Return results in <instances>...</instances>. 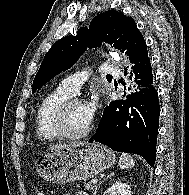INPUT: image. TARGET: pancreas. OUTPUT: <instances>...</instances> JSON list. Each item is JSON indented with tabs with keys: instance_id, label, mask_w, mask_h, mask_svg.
Here are the masks:
<instances>
[{
	"instance_id": "pancreas-1",
	"label": "pancreas",
	"mask_w": 189,
	"mask_h": 195,
	"mask_svg": "<svg viewBox=\"0 0 189 195\" xmlns=\"http://www.w3.org/2000/svg\"><path fill=\"white\" fill-rule=\"evenodd\" d=\"M77 187H80L78 184L76 185ZM84 186L87 188V189H90L92 187L91 183H85Z\"/></svg>"
}]
</instances>
